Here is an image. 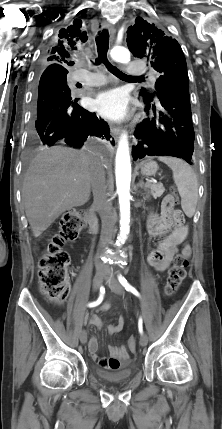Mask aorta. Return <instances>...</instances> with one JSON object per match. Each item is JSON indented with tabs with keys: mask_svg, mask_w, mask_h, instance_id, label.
Instances as JSON below:
<instances>
[{
	"mask_svg": "<svg viewBox=\"0 0 222 429\" xmlns=\"http://www.w3.org/2000/svg\"><path fill=\"white\" fill-rule=\"evenodd\" d=\"M110 55L112 59L120 63H128L130 61V52L124 47H114ZM115 161L116 187L120 205V234L117 243L120 245L125 242L130 230L131 161L126 133H123L119 140Z\"/></svg>",
	"mask_w": 222,
	"mask_h": 429,
	"instance_id": "aorta-1",
	"label": "aorta"
}]
</instances>
